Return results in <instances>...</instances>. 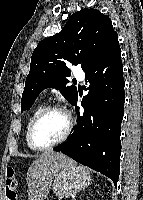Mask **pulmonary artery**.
Segmentation results:
<instances>
[{
	"mask_svg": "<svg viewBox=\"0 0 143 200\" xmlns=\"http://www.w3.org/2000/svg\"><path fill=\"white\" fill-rule=\"evenodd\" d=\"M74 77L80 81H82L85 77L84 72L81 69H77L74 71Z\"/></svg>",
	"mask_w": 143,
	"mask_h": 200,
	"instance_id": "obj_1",
	"label": "pulmonary artery"
}]
</instances>
